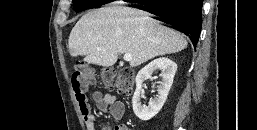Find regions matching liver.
I'll return each instance as SVG.
<instances>
[{
    "mask_svg": "<svg viewBox=\"0 0 257 130\" xmlns=\"http://www.w3.org/2000/svg\"><path fill=\"white\" fill-rule=\"evenodd\" d=\"M188 43L147 12L127 7H103L83 15L68 39L70 55L102 67L113 66L119 54H131V67L184 50ZM99 49V50H98Z\"/></svg>",
    "mask_w": 257,
    "mask_h": 130,
    "instance_id": "obj_1",
    "label": "liver"
}]
</instances>
